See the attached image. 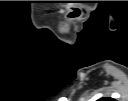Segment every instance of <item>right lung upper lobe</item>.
<instances>
[{
    "mask_svg": "<svg viewBox=\"0 0 128 101\" xmlns=\"http://www.w3.org/2000/svg\"><path fill=\"white\" fill-rule=\"evenodd\" d=\"M104 100H108L109 101V100H112V99L111 98H104Z\"/></svg>",
    "mask_w": 128,
    "mask_h": 101,
    "instance_id": "cb5924a9",
    "label": "right lung upper lobe"
}]
</instances>
